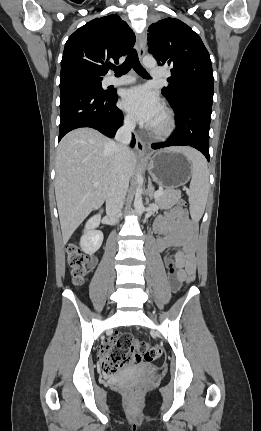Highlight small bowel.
<instances>
[{
  "instance_id": "obj_1",
  "label": "small bowel",
  "mask_w": 261,
  "mask_h": 431,
  "mask_svg": "<svg viewBox=\"0 0 261 431\" xmlns=\"http://www.w3.org/2000/svg\"><path fill=\"white\" fill-rule=\"evenodd\" d=\"M154 230L160 235L156 241L158 251L164 252L172 247L182 246V249L175 253L173 260L166 261L171 286L176 290L190 272L195 273L196 224L189 219L186 210L176 206L156 219ZM96 263L97 259L92 258L91 266H95ZM149 349L150 343H143L140 345L139 353L145 356Z\"/></svg>"
}]
</instances>
